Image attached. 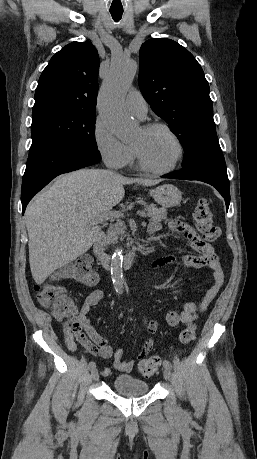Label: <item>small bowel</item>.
I'll use <instances>...</instances> for the list:
<instances>
[{
	"mask_svg": "<svg viewBox=\"0 0 257 459\" xmlns=\"http://www.w3.org/2000/svg\"><path fill=\"white\" fill-rule=\"evenodd\" d=\"M168 227L172 232L182 234L190 243L191 247L196 251L195 255H185L180 259L174 256H165L157 259L154 262V266H165L180 262L185 268L188 269H200L207 267L211 270L213 276V282L207 293L199 302H186L182 305L181 311L170 309L166 313V322L169 326L174 327L179 324H189L195 321L200 313H203L208 308L209 304L216 297L222 286L224 285L225 276L221 268L218 256L214 252L213 248L201 240L194 228L182 221L172 220L168 223ZM161 228V224L158 221H153L148 226V232L154 234ZM103 298V292L100 289L92 291L85 299L77 316L72 323L64 324V338L67 348L71 352L77 351L78 341L88 352L93 355H98L102 358L108 359L113 357L114 364L113 368L130 373L135 367V360H122L123 350L118 349L115 352L111 344L107 339L102 337L89 323L87 314L90 309L97 305ZM159 328V322L154 320L151 321L147 326L148 337L145 344L138 356L139 359H143L153 347L152 334H154ZM111 374V368L105 367L102 369L103 376H109Z\"/></svg>",
	"mask_w": 257,
	"mask_h": 459,
	"instance_id": "1",
	"label": "small bowel"
}]
</instances>
